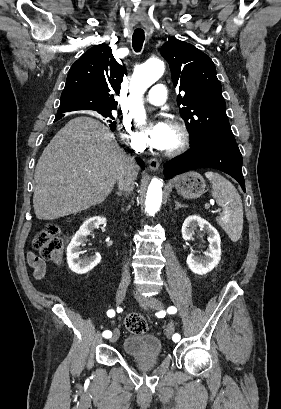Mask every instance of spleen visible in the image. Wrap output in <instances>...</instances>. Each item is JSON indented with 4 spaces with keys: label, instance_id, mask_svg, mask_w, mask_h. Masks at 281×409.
<instances>
[{
    "label": "spleen",
    "instance_id": "spleen-1",
    "mask_svg": "<svg viewBox=\"0 0 281 409\" xmlns=\"http://www.w3.org/2000/svg\"><path fill=\"white\" fill-rule=\"evenodd\" d=\"M205 176L212 184V196L217 205L222 207V215L217 217V223L227 233L229 239L236 243L241 239L243 231V205L241 196L234 184L218 174L208 170Z\"/></svg>",
    "mask_w": 281,
    "mask_h": 409
}]
</instances>
